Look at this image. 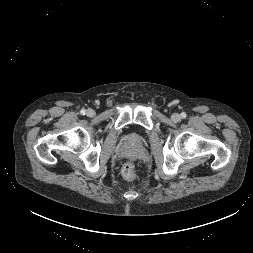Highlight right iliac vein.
<instances>
[{
  "label": "right iliac vein",
  "mask_w": 253,
  "mask_h": 253,
  "mask_svg": "<svg viewBox=\"0 0 253 253\" xmlns=\"http://www.w3.org/2000/svg\"><path fill=\"white\" fill-rule=\"evenodd\" d=\"M87 115H88L89 117H92V116L95 115V111H94L93 109H88V110H87Z\"/></svg>",
  "instance_id": "1"
}]
</instances>
